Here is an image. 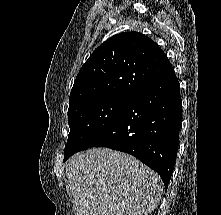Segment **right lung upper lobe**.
Returning <instances> with one entry per match:
<instances>
[{"instance_id": "obj_1", "label": "right lung upper lobe", "mask_w": 221, "mask_h": 215, "mask_svg": "<svg viewBox=\"0 0 221 215\" xmlns=\"http://www.w3.org/2000/svg\"><path fill=\"white\" fill-rule=\"evenodd\" d=\"M172 68L149 37L139 32L116 34L101 44L80 69L69 106L104 95L133 96Z\"/></svg>"}]
</instances>
